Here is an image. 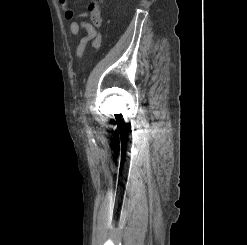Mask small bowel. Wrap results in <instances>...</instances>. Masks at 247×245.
<instances>
[{
  "label": "small bowel",
  "instance_id": "1",
  "mask_svg": "<svg viewBox=\"0 0 247 245\" xmlns=\"http://www.w3.org/2000/svg\"><path fill=\"white\" fill-rule=\"evenodd\" d=\"M59 3L64 11L66 19L72 20L70 31L73 35H78L81 31H85L86 35L81 38L77 47L76 55L79 59H84V51L89 42L95 49L101 46V34L99 27L101 26V15L96 6H91L88 12L83 13L80 17H90L91 22H86L81 19H76L73 10L69 7L68 0H59Z\"/></svg>",
  "mask_w": 247,
  "mask_h": 245
}]
</instances>
